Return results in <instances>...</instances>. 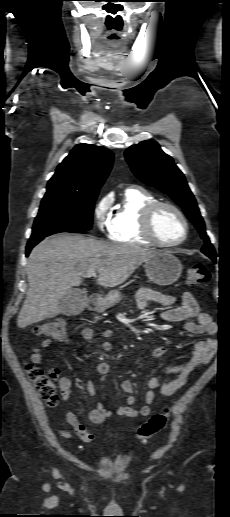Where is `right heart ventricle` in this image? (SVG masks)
Returning a JSON list of instances; mask_svg holds the SVG:
<instances>
[{
  "label": "right heart ventricle",
  "instance_id": "e07e8e85",
  "mask_svg": "<svg viewBox=\"0 0 230 517\" xmlns=\"http://www.w3.org/2000/svg\"><path fill=\"white\" fill-rule=\"evenodd\" d=\"M157 199L147 190L132 186L125 189L112 215L108 230L110 240L123 244H153L142 232V214Z\"/></svg>",
  "mask_w": 230,
  "mask_h": 517
}]
</instances>
